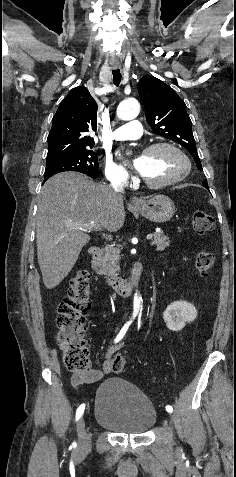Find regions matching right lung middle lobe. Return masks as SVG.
<instances>
[{
  "label": "right lung middle lobe",
  "instance_id": "obj_1",
  "mask_svg": "<svg viewBox=\"0 0 236 477\" xmlns=\"http://www.w3.org/2000/svg\"><path fill=\"white\" fill-rule=\"evenodd\" d=\"M65 171H76L96 178L99 172L97 154L83 148L73 154L48 160L44 179Z\"/></svg>",
  "mask_w": 236,
  "mask_h": 477
}]
</instances>
